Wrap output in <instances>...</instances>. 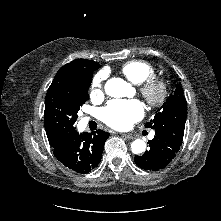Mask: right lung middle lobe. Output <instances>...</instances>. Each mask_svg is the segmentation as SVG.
Segmentation results:
<instances>
[{
  "mask_svg": "<svg viewBox=\"0 0 221 221\" xmlns=\"http://www.w3.org/2000/svg\"><path fill=\"white\" fill-rule=\"evenodd\" d=\"M91 80L83 78L71 87L48 89L44 125L49 142L65 140L75 131L77 112L89 99Z\"/></svg>",
  "mask_w": 221,
  "mask_h": 221,
  "instance_id": "right-lung-middle-lobe-1",
  "label": "right lung middle lobe"
}]
</instances>
